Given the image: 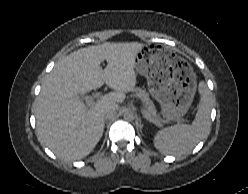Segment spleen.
<instances>
[{
    "label": "spleen",
    "instance_id": "obj_1",
    "mask_svg": "<svg viewBox=\"0 0 248 194\" xmlns=\"http://www.w3.org/2000/svg\"><path fill=\"white\" fill-rule=\"evenodd\" d=\"M200 104L191 125L176 124L158 131L154 146L163 154L181 155L191 151L210 132L212 95L204 82L199 83Z\"/></svg>",
    "mask_w": 248,
    "mask_h": 194
}]
</instances>
